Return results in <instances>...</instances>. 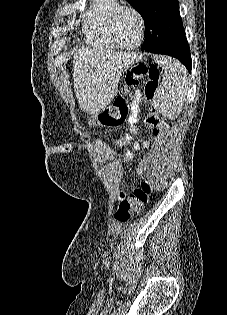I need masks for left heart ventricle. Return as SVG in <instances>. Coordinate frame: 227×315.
I'll return each mask as SVG.
<instances>
[{
	"mask_svg": "<svg viewBox=\"0 0 227 315\" xmlns=\"http://www.w3.org/2000/svg\"><path fill=\"white\" fill-rule=\"evenodd\" d=\"M115 35L119 43L132 46L139 39V21L130 11H125L119 17L115 26Z\"/></svg>",
	"mask_w": 227,
	"mask_h": 315,
	"instance_id": "b2bd125f",
	"label": "left heart ventricle"
}]
</instances>
